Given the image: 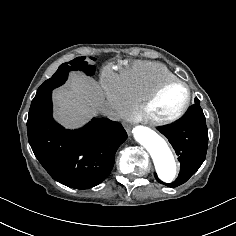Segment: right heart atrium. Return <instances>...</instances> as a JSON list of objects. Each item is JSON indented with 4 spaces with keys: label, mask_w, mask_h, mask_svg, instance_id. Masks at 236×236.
Segmentation results:
<instances>
[{
    "label": "right heart atrium",
    "mask_w": 236,
    "mask_h": 236,
    "mask_svg": "<svg viewBox=\"0 0 236 236\" xmlns=\"http://www.w3.org/2000/svg\"><path fill=\"white\" fill-rule=\"evenodd\" d=\"M100 79L106 86V95L113 107L112 118H120L125 116L131 103L126 97L122 78L110 70H104L100 76Z\"/></svg>",
    "instance_id": "1"
}]
</instances>
